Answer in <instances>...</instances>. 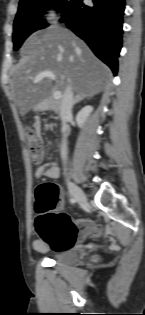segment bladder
<instances>
[{"label":"bladder","mask_w":145,"mask_h":315,"mask_svg":"<svg viewBox=\"0 0 145 315\" xmlns=\"http://www.w3.org/2000/svg\"><path fill=\"white\" fill-rule=\"evenodd\" d=\"M52 259L59 264L75 265L79 261V249L74 246L58 250Z\"/></svg>","instance_id":"bladder-1"}]
</instances>
